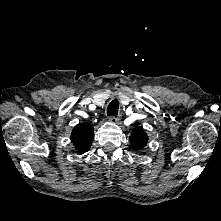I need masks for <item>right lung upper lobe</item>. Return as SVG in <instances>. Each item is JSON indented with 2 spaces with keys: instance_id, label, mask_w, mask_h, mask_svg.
I'll use <instances>...</instances> for the list:
<instances>
[{
  "instance_id": "cb5924a9",
  "label": "right lung upper lobe",
  "mask_w": 221,
  "mask_h": 221,
  "mask_svg": "<svg viewBox=\"0 0 221 221\" xmlns=\"http://www.w3.org/2000/svg\"><path fill=\"white\" fill-rule=\"evenodd\" d=\"M93 141V127L91 125L78 124L71 133V142L78 153L88 151Z\"/></svg>"
}]
</instances>
